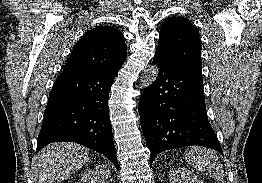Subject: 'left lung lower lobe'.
I'll return each mask as SVG.
<instances>
[{
    "mask_svg": "<svg viewBox=\"0 0 262 183\" xmlns=\"http://www.w3.org/2000/svg\"><path fill=\"white\" fill-rule=\"evenodd\" d=\"M156 80L139 101L141 127L150 154V165L164 150L199 145L217 150L221 146L206 114L203 78L158 57Z\"/></svg>",
    "mask_w": 262,
    "mask_h": 183,
    "instance_id": "left-lung-lower-lobe-1",
    "label": "left lung lower lobe"
}]
</instances>
